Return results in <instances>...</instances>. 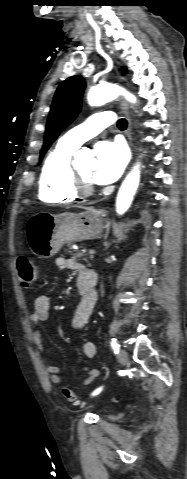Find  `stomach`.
Here are the masks:
<instances>
[{"mask_svg":"<svg viewBox=\"0 0 187 479\" xmlns=\"http://www.w3.org/2000/svg\"><path fill=\"white\" fill-rule=\"evenodd\" d=\"M102 212L88 208L79 213L51 214L39 212L26 225V238L31 251L42 258L54 256L66 242H77L100 236Z\"/></svg>","mask_w":187,"mask_h":479,"instance_id":"obj_1","label":"stomach"}]
</instances>
